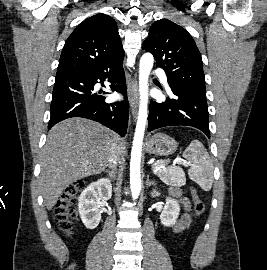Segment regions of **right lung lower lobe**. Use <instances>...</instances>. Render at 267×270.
<instances>
[{"label": "right lung lower lobe", "mask_w": 267, "mask_h": 270, "mask_svg": "<svg viewBox=\"0 0 267 270\" xmlns=\"http://www.w3.org/2000/svg\"><path fill=\"white\" fill-rule=\"evenodd\" d=\"M122 61L123 58L86 70L57 74L48 129L64 119L83 117L97 121L124 136L128 124L129 104L127 99L125 98L121 102L106 103L104 96H98L93 92L98 80L103 83V80L107 78L111 83L112 91L126 96Z\"/></svg>", "instance_id": "right-lung-lower-lobe-1"}]
</instances>
